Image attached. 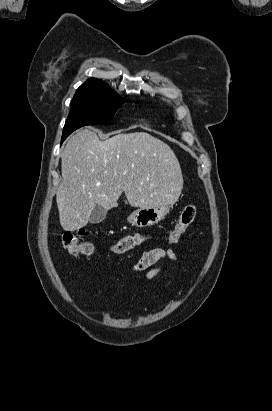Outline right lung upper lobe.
<instances>
[{"mask_svg":"<svg viewBox=\"0 0 272 411\" xmlns=\"http://www.w3.org/2000/svg\"><path fill=\"white\" fill-rule=\"evenodd\" d=\"M110 89V87L101 80L91 78L77 89L76 94L90 91H100Z\"/></svg>","mask_w":272,"mask_h":411,"instance_id":"cb5924a9","label":"right lung upper lobe"}]
</instances>
